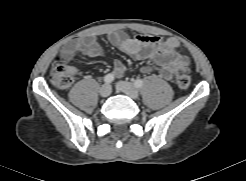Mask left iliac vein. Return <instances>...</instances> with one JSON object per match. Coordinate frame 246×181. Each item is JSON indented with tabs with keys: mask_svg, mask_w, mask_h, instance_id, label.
I'll list each match as a JSON object with an SVG mask.
<instances>
[{
	"mask_svg": "<svg viewBox=\"0 0 246 181\" xmlns=\"http://www.w3.org/2000/svg\"><path fill=\"white\" fill-rule=\"evenodd\" d=\"M117 89L127 96H129L131 99H138L139 97V91L138 89L131 83L127 81H119L117 84Z\"/></svg>",
	"mask_w": 246,
	"mask_h": 181,
	"instance_id": "4c4485c4",
	"label": "left iliac vein"
}]
</instances>
